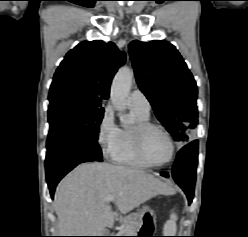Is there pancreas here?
<instances>
[{
    "instance_id": "1",
    "label": "pancreas",
    "mask_w": 248,
    "mask_h": 237,
    "mask_svg": "<svg viewBox=\"0 0 248 237\" xmlns=\"http://www.w3.org/2000/svg\"><path fill=\"white\" fill-rule=\"evenodd\" d=\"M138 229H139V225L137 223L124 220L118 235L119 236H135Z\"/></svg>"
}]
</instances>
